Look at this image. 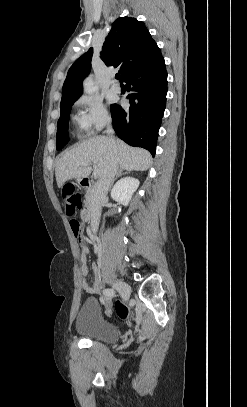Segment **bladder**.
<instances>
[{
  "mask_svg": "<svg viewBox=\"0 0 247 407\" xmlns=\"http://www.w3.org/2000/svg\"><path fill=\"white\" fill-rule=\"evenodd\" d=\"M76 331L86 339L112 345L119 340V329L102 319L97 300L88 298L81 306L76 320Z\"/></svg>",
  "mask_w": 247,
  "mask_h": 407,
  "instance_id": "bladder-1",
  "label": "bladder"
}]
</instances>
